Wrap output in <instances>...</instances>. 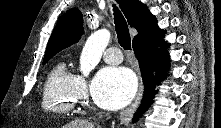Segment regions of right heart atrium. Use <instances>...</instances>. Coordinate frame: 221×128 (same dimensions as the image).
I'll list each match as a JSON object with an SVG mask.
<instances>
[{"instance_id": "right-heart-atrium-1", "label": "right heart atrium", "mask_w": 221, "mask_h": 128, "mask_svg": "<svg viewBox=\"0 0 221 128\" xmlns=\"http://www.w3.org/2000/svg\"><path fill=\"white\" fill-rule=\"evenodd\" d=\"M75 92L78 99H87V81L82 75H76L75 77Z\"/></svg>"}]
</instances>
